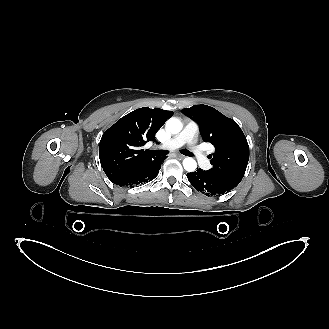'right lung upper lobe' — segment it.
Segmentation results:
<instances>
[{"mask_svg":"<svg viewBox=\"0 0 329 329\" xmlns=\"http://www.w3.org/2000/svg\"><path fill=\"white\" fill-rule=\"evenodd\" d=\"M173 114L159 108L143 107L125 115L100 140L101 166L110 180L125 177L156 157L142 147L155 141V134Z\"/></svg>","mask_w":329,"mask_h":329,"instance_id":"obj_1","label":"right lung upper lobe"}]
</instances>
